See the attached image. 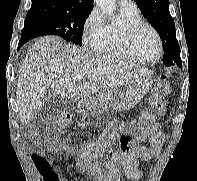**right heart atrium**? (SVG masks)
Instances as JSON below:
<instances>
[{
	"mask_svg": "<svg viewBox=\"0 0 197 181\" xmlns=\"http://www.w3.org/2000/svg\"><path fill=\"white\" fill-rule=\"evenodd\" d=\"M104 27L105 21L100 11L96 7L92 8L83 23V41L92 46L102 34Z\"/></svg>",
	"mask_w": 197,
	"mask_h": 181,
	"instance_id": "obj_1",
	"label": "right heart atrium"
}]
</instances>
